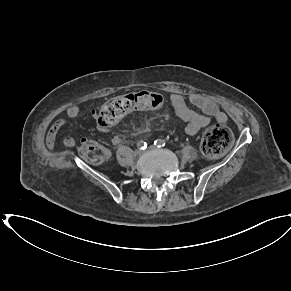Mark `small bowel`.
<instances>
[{
	"instance_id": "obj_1",
	"label": "small bowel",
	"mask_w": 291,
	"mask_h": 291,
	"mask_svg": "<svg viewBox=\"0 0 291 291\" xmlns=\"http://www.w3.org/2000/svg\"><path fill=\"white\" fill-rule=\"evenodd\" d=\"M169 104L172 111L182 120H184L187 124L185 127V132L188 135H195L201 129L207 127L212 121H216L218 123H225L228 120L227 115L221 111L211 98L202 95L200 93H191L188 98H186L182 94L173 93L169 96ZM189 104L198 108L200 112L192 109ZM82 111V107L80 104H73L68 107L66 111V117H62L57 119L49 128L46 136V146L49 151H53L55 149L56 137L70 119L77 118ZM92 115L96 118L98 117V113L93 110ZM102 131H107L106 129L101 127ZM123 137L121 135H115L112 138V143L117 145L121 143ZM82 142H86V139H82ZM76 144V140L67 136L64 139V146L67 148H72ZM109 151L106 150V156H109Z\"/></svg>"
}]
</instances>
